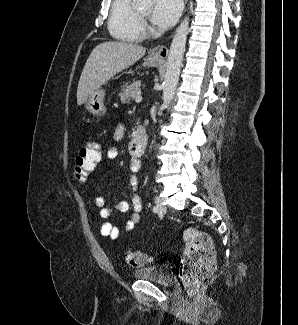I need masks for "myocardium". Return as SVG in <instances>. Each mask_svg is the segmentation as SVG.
<instances>
[{
  "label": "myocardium",
  "mask_w": 298,
  "mask_h": 325,
  "mask_svg": "<svg viewBox=\"0 0 298 325\" xmlns=\"http://www.w3.org/2000/svg\"><path fill=\"white\" fill-rule=\"evenodd\" d=\"M140 0L132 5L133 25L141 38H149L157 34V30L150 24L148 17L140 9Z\"/></svg>",
  "instance_id": "f54148a6"
}]
</instances>
